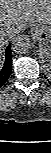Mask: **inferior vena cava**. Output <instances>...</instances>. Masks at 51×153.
I'll return each instance as SVG.
<instances>
[{"label": "inferior vena cava", "mask_w": 51, "mask_h": 153, "mask_svg": "<svg viewBox=\"0 0 51 153\" xmlns=\"http://www.w3.org/2000/svg\"><path fill=\"white\" fill-rule=\"evenodd\" d=\"M7 43V38L5 36H0V45H5Z\"/></svg>", "instance_id": "inferior-vena-cava-1"}]
</instances>
